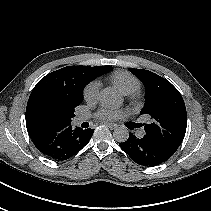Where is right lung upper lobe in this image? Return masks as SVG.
I'll return each mask as SVG.
<instances>
[{
	"instance_id": "obj_1",
	"label": "right lung upper lobe",
	"mask_w": 211,
	"mask_h": 211,
	"mask_svg": "<svg viewBox=\"0 0 211 211\" xmlns=\"http://www.w3.org/2000/svg\"><path fill=\"white\" fill-rule=\"evenodd\" d=\"M112 66H67L43 77L33 88L26 107V127L32 137L44 129L40 111L46 102L74 97L83 86L110 71Z\"/></svg>"
}]
</instances>
